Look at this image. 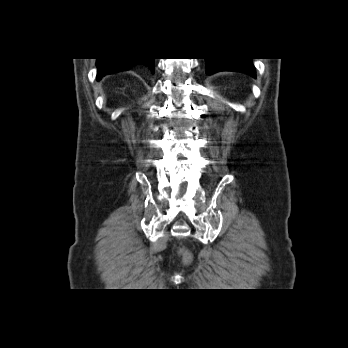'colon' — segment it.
Masks as SVG:
<instances>
[{"mask_svg": "<svg viewBox=\"0 0 348 348\" xmlns=\"http://www.w3.org/2000/svg\"><path fill=\"white\" fill-rule=\"evenodd\" d=\"M179 254L182 256V258L188 262L191 260V255L189 252H187L186 250L184 249H179Z\"/></svg>", "mask_w": 348, "mask_h": 348, "instance_id": "colon-1", "label": "colon"}]
</instances>
